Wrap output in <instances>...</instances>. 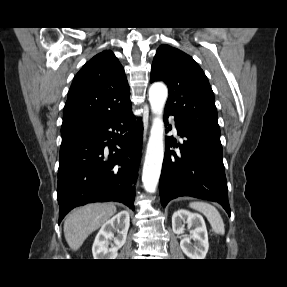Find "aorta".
<instances>
[{
    "label": "aorta",
    "instance_id": "obj_1",
    "mask_svg": "<svg viewBox=\"0 0 287 287\" xmlns=\"http://www.w3.org/2000/svg\"><path fill=\"white\" fill-rule=\"evenodd\" d=\"M167 96L168 90L163 83H154L149 88V102L155 118L153 119L147 144L142 182L145 190L150 193L156 191L164 157V123L162 114Z\"/></svg>",
    "mask_w": 287,
    "mask_h": 287
}]
</instances>
